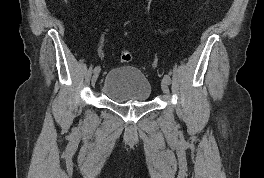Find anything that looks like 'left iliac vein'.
Masks as SVG:
<instances>
[{
    "label": "left iliac vein",
    "instance_id": "obj_1",
    "mask_svg": "<svg viewBox=\"0 0 264 178\" xmlns=\"http://www.w3.org/2000/svg\"><path fill=\"white\" fill-rule=\"evenodd\" d=\"M161 89H162L164 94L169 93V83L164 78L161 81Z\"/></svg>",
    "mask_w": 264,
    "mask_h": 178
}]
</instances>
